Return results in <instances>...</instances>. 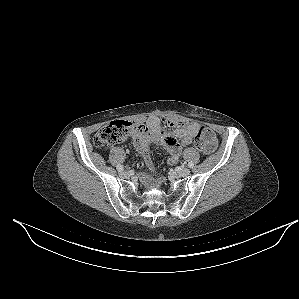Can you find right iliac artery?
<instances>
[{"mask_svg":"<svg viewBox=\"0 0 299 299\" xmlns=\"http://www.w3.org/2000/svg\"><path fill=\"white\" fill-rule=\"evenodd\" d=\"M117 170H118L119 172H122V171L124 170V168H123V166L118 165V166H117Z\"/></svg>","mask_w":299,"mask_h":299,"instance_id":"1","label":"right iliac artery"}]
</instances>
